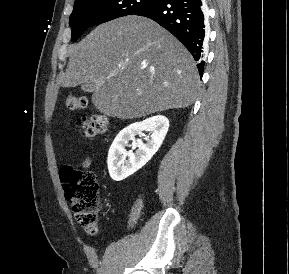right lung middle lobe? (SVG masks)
<instances>
[{"label": "right lung middle lobe", "mask_w": 289, "mask_h": 274, "mask_svg": "<svg viewBox=\"0 0 289 274\" xmlns=\"http://www.w3.org/2000/svg\"><path fill=\"white\" fill-rule=\"evenodd\" d=\"M155 0H75L69 24L72 28V41L97 24L136 14L150 6Z\"/></svg>", "instance_id": "1"}]
</instances>
